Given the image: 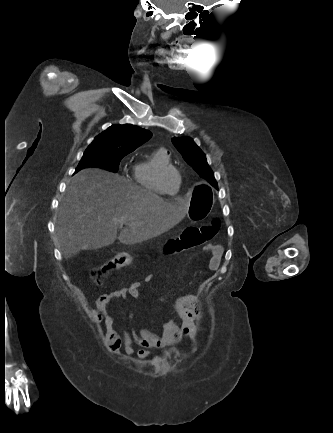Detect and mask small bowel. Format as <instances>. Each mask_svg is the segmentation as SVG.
<instances>
[{
  "mask_svg": "<svg viewBox=\"0 0 333 433\" xmlns=\"http://www.w3.org/2000/svg\"><path fill=\"white\" fill-rule=\"evenodd\" d=\"M204 249L211 253L209 268L216 270L222 256L221 247L206 245ZM152 279L153 276L148 274L144 277L143 282L148 283ZM141 285V282H133L127 287L102 294L96 300L93 317L97 324L102 323L105 327V343L109 352L121 355V350H123L128 356L146 359L151 355V350L178 346L185 340H195L197 338L200 329L198 321L204 315L203 305L200 298L191 293L178 296L173 300L172 307L180 323L172 320L162 321L159 336L143 328L115 330V321L108 310V305L116 299L138 298ZM161 300L166 301V298L162 296ZM129 318L132 320L133 314H130ZM135 346L140 348L135 349Z\"/></svg>",
  "mask_w": 333,
  "mask_h": 433,
  "instance_id": "c3829d8e",
  "label": "small bowel"
}]
</instances>
